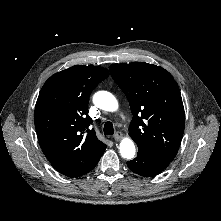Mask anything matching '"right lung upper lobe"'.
Segmentation results:
<instances>
[{
  "mask_svg": "<svg viewBox=\"0 0 221 221\" xmlns=\"http://www.w3.org/2000/svg\"><path fill=\"white\" fill-rule=\"evenodd\" d=\"M108 76L105 68L75 65L52 75L39 93L34 115L39 143L63 175L86 174L107 147L89 128L87 106L92 90Z\"/></svg>",
  "mask_w": 221,
  "mask_h": 221,
  "instance_id": "cb5924a9",
  "label": "right lung upper lobe"
}]
</instances>
